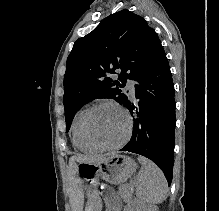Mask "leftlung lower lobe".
Returning <instances> with one entry per match:
<instances>
[{"label":"left lung lower lobe","mask_w":219,"mask_h":211,"mask_svg":"<svg viewBox=\"0 0 219 211\" xmlns=\"http://www.w3.org/2000/svg\"><path fill=\"white\" fill-rule=\"evenodd\" d=\"M134 95L124 106L130 111L134 126L131 140L121 151L143 155L172 181L175 138L174 84L165 52L135 80Z\"/></svg>","instance_id":"1"}]
</instances>
